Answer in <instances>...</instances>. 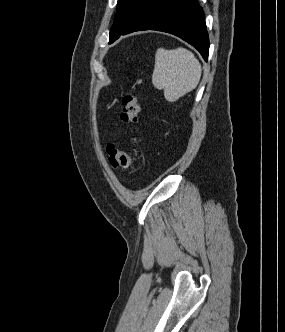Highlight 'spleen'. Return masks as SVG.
Returning <instances> with one entry per match:
<instances>
[{
	"label": "spleen",
	"mask_w": 285,
	"mask_h": 332,
	"mask_svg": "<svg viewBox=\"0 0 285 332\" xmlns=\"http://www.w3.org/2000/svg\"><path fill=\"white\" fill-rule=\"evenodd\" d=\"M201 73V64L191 51L182 47L157 49L152 83L156 89L164 90L168 102H175L195 89Z\"/></svg>",
	"instance_id": "obj_1"
}]
</instances>
